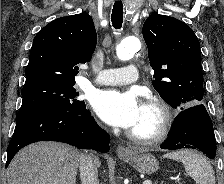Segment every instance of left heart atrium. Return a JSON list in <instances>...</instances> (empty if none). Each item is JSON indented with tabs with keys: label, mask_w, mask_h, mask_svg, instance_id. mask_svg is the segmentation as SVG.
<instances>
[{
	"label": "left heart atrium",
	"mask_w": 224,
	"mask_h": 184,
	"mask_svg": "<svg viewBox=\"0 0 224 184\" xmlns=\"http://www.w3.org/2000/svg\"><path fill=\"white\" fill-rule=\"evenodd\" d=\"M93 107L107 124L131 129L139 119L142 104L133 92L108 90L95 95Z\"/></svg>",
	"instance_id": "1"
}]
</instances>
